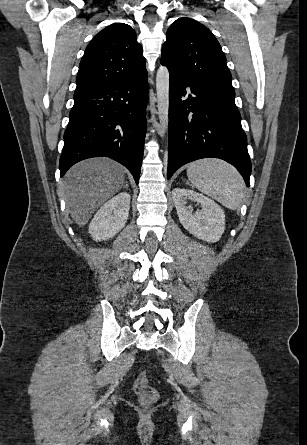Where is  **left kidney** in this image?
I'll return each mask as SVG.
<instances>
[{"instance_id":"1","label":"left kidney","mask_w":307,"mask_h":445,"mask_svg":"<svg viewBox=\"0 0 307 445\" xmlns=\"http://www.w3.org/2000/svg\"><path fill=\"white\" fill-rule=\"evenodd\" d=\"M173 202L184 229L206 243H217L225 231V214L223 208L200 192L189 188H173ZM187 200L201 202L202 210L192 212L186 206Z\"/></svg>"}]
</instances>
